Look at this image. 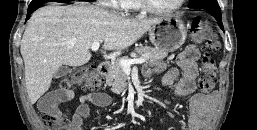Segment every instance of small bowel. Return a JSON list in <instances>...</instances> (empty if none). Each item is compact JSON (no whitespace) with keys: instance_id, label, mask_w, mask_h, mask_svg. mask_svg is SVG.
<instances>
[{"instance_id":"c3829d8e","label":"small bowel","mask_w":257,"mask_h":130,"mask_svg":"<svg viewBox=\"0 0 257 130\" xmlns=\"http://www.w3.org/2000/svg\"><path fill=\"white\" fill-rule=\"evenodd\" d=\"M199 51L195 46L185 48L176 59V67H168L164 62L151 64L145 68V75L151 76L163 72L162 84L174 96H190L188 130H201L211 110L210 97L194 93L198 76L197 60ZM60 97L56 93L46 95L40 102L41 108L57 109ZM111 103V97L105 93L94 92L82 95L70 123V130H85L84 119L92 115L91 105L104 108Z\"/></svg>"}]
</instances>
